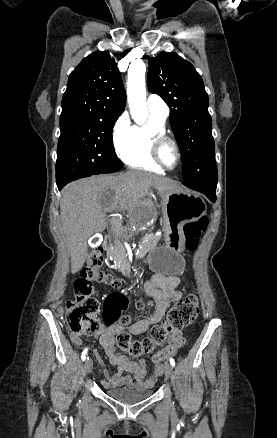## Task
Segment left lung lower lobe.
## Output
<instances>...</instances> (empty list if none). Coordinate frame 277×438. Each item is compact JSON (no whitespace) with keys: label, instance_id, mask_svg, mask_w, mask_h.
Segmentation results:
<instances>
[{"label":"left lung lower lobe","instance_id":"0a47b994","mask_svg":"<svg viewBox=\"0 0 277 438\" xmlns=\"http://www.w3.org/2000/svg\"><path fill=\"white\" fill-rule=\"evenodd\" d=\"M183 184L185 186L193 189V190H196V191H199V192L205 194L212 202L216 201V196H215L216 187L207 186V185H191V184H185V183H183Z\"/></svg>","mask_w":277,"mask_h":438}]
</instances>
